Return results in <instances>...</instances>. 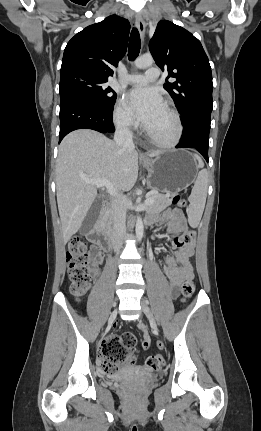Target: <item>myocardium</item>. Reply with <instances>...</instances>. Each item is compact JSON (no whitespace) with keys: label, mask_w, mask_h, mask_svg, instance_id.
<instances>
[{"label":"myocardium","mask_w":261,"mask_h":431,"mask_svg":"<svg viewBox=\"0 0 261 431\" xmlns=\"http://www.w3.org/2000/svg\"><path fill=\"white\" fill-rule=\"evenodd\" d=\"M164 107L171 113L174 118L176 125L174 136L169 140L163 141L155 138L146 128H144V133L153 145L164 149H171L179 144L183 134V125L180 114L174 107H172L168 103L164 104Z\"/></svg>","instance_id":"1"}]
</instances>
